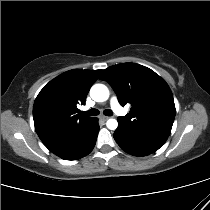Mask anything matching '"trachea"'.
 I'll return each instance as SVG.
<instances>
[{
    "mask_svg": "<svg viewBox=\"0 0 210 210\" xmlns=\"http://www.w3.org/2000/svg\"><path fill=\"white\" fill-rule=\"evenodd\" d=\"M103 113L106 116H112L113 115V112L110 109L104 110ZM98 114H99V111L97 109H90L88 111L81 112V115H84V116H96Z\"/></svg>",
    "mask_w": 210,
    "mask_h": 210,
    "instance_id": "3493384b",
    "label": "trachea"
}]
</instances>
